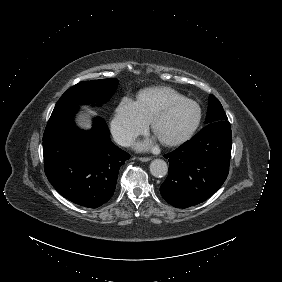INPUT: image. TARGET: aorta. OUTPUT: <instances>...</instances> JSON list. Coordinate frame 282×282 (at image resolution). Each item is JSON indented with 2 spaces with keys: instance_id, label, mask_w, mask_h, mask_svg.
Returning <instances> with one entry per match:
<instances>
[{
  "instance_id": "aorta-1",
  "label": "aorta",
  "mask_w": 282,
  "mask_h": 282,
  "mask_svg": "<svg viewBox=\"0 0 282 282\" xmlns=\"http://www.w3.org/2000/svg\"><path fill=\"white\" fill-rule=\"evenodd\" d=\"M150 172L156 178L164 177L168 172L167 163L162 159H155L150 164Z\"/></svg>"
}]
</instances>
